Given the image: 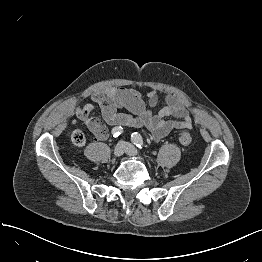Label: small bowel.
<instances>
[{
	"instance_id": "1",
	"label": "small bowel",
	"mask_w": 262,
	"mask_h": 262,
	"mask_svg": "<svg viewBox=\"0 0 262 262\" xmlns=\"http://www.w3.org/2000/svg\"><path fill=\"white\" fill-rule=\"evenodd\" d=\"M91 100L92 103L76 107L73 116L75 120L83 122L97 140H106L108 129L93 116L95 105L101 108L102 117L107 124L114 128L145 126L155 141H160L175 129L192 126L187 101L178 94L167 96L166 105L157 112L154 109L159 95L155 89H149L145 100L134 89L107 86L95 93ZM120 109L127 112H119Z\"/></svg>"
}]
</instances>
